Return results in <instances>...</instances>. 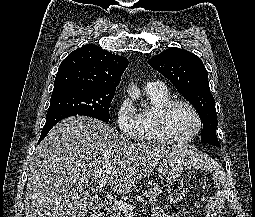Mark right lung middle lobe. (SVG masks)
<instances>
[{
    "label": "right lung middle lobe",
    "mask_w": 255,
    "mask_h": 217,
    "mask_svg": "<svg viewBox=\"0 0 255 217\" xmlns=\"http://www.w3.org/2000/svg\"><path fill=\"white\" fill-rule=\"evenodd\" d=\"M114 93L115 91L77 85L54 88L46 117L59 112H68L107 122Z\"/></svg>",
    "instance_id": "obj_1"
}]
</instances>
